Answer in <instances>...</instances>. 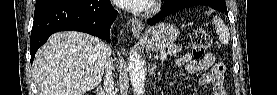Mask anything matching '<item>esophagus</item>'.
I'll use <instances>...</instances> for the list:
<instances>
[{
  "label": "esophagus",
  "mask_w": 277,
  "mask_h": 95,
  "mask_svg": "<svg viewBox=\"0 0 277 95\" xmlns=\"http://www.w3.org/2000/svg\"><path fill=\"white\" fill-rule=\"evenodd\" d=\"M143 28H144L143 24L139 19L137 18L132 19L131 30L135 37L139 38L141 36L143 32Z\"/></svg>",
  "instance_id": "obj_1"
}]
</instances>
